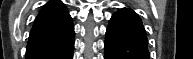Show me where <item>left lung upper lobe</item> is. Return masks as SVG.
I'll use <instances>...</instances> for the list:
<instances>
[{
	"instance_id": "obj_1",
	"label": "left lung upper lobe",
	"mask_w": 193,
	"mask_h": 59,
	"mask_svg": "<svg viewBox=\"0 0 193 59\" xmlns=\"http://www.w3.org/2000/svg\"><path fill=\"white\" fill-rule=\"evenodd\" d=\"M120 11H124V12L130 13V14H133V15H137L135 12H133L132 10H128V9H122Z\"/></svg>"
}]
</instances>
